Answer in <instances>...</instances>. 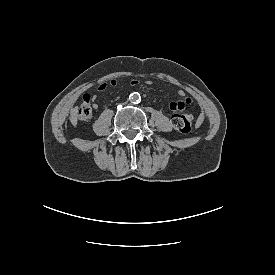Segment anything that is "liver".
I'll list each match as a JSON object with an SVG mask.
<instances>
[{
	"instance_id": "6515ba94",
	"label": "liver",
	"mask_w": 275,
	"mask_h": 275,
	"mask_svg": "<svg viewBox=\"0 0 275 275\" xmlns=\"http://www.w3.org/2000/svg\"><path fill=\"white\" fill-rule=\"evenodd\" d=\"M71 122L73 125H76V123H77L76 117H71Z\"/></svg>"
}]
</instances>
